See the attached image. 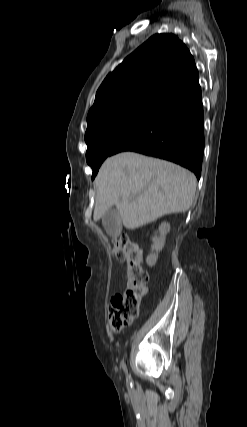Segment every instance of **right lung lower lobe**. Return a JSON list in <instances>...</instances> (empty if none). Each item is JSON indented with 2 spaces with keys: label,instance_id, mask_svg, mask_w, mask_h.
I'll return each instance as SVG.
<instances>
[{
  "label": "right lung lower lobe",
  "instance_id": "98d812e1",
  "mask_svg": "<svg viewBox=\"0 0 247 427\" xmlns=\"http://www.w3.org/2000/svg\"><path fill=\"white\" fill-rule=\"evenodd\" d=\"M203 104L199 82L174 93L113 154L134 151L177 163L201 176L204 154Z\"/></svg>",
  "mask_w": 247,
  "mask_h": 427
}]
</instances>
